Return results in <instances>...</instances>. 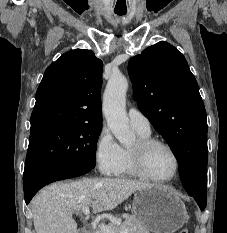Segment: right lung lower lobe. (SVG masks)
Here are the masks:
<instances>
[{"instance_id":"right-lung-lower-lobe-1","label":"right lung lower lobe","mask_w":227,"mask_h":233,"mask_svg":"<svg viewBox=\"0 0 227 233\" xmlns=\"http://www.w3.org/2000/svg\"><path fill=\"white\" fill-rule=\"evenodd\" d=\"M91 168L79 166H56L42 169L28 178L23 179L25 202L28 204L32 197L43 186L63 179L77 177L88 173Z\"/></svg>"}]
</instances>
